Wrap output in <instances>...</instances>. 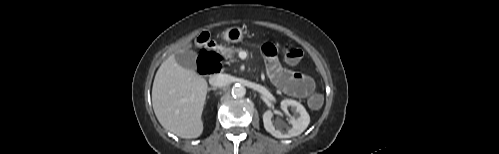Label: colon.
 <instances>
[{
  "mask_svg": "<svg viewBox=\"0 0 499 154\" xmlns=\"http://www.w3.org/2000/svg\"><path fill=\"white\" fill-rule=\"evenodd\" d=\"M197 41L201 44L207 43L209 41V34L206 32L201 33L198 36ZM282 52L285 60L290 64L298 63L303 56L302 50L292 43H287L286 45H284ZM210 56L212 58V66L214 71H219L222 65V57L215 52H211ZM308 104L312 108H320L323 104L322 95L317 92L312 93L308 98Z\"/></svg>",
  "mask_w": 499,
  "mask_h": 154,
  "instance_id": "5ec220e1",
  "label": "colon"
}]
</instances>
